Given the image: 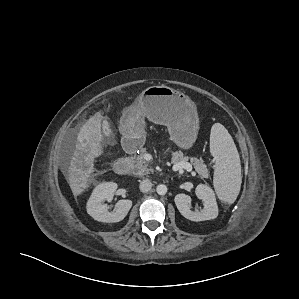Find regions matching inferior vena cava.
<instances>
[{
  "label": "inferior vena cava",
  "instance_id": "inferior-vena-cava-1",
  "mask_svg": "<svg viewBox=\"0 0 299 299\" xmlns=\"http://www.w3.org/2000/svg\"><path fill=\"white\" fill-rule=\"evenodd\" d=\"M139 188L141 190V192H148L151 190L152 188V182L149 179H143L140 182Z\"/></svg>",
  "mask_w": 299,
  "mask_h": 299
}]
</instances>
